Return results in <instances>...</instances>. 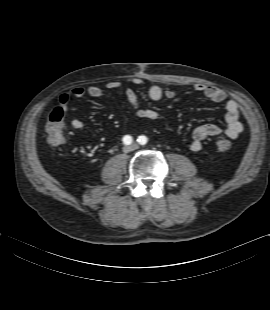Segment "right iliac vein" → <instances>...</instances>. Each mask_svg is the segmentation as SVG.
Masks as SVG:
<instances>
[{"label": "right iliac vein", "instance_id": "right-iliac-vein-1", "mask_svg": "<svg viewBox=\"0 0 270 310\" xmlns=\"http://www.w3.org/2000/svg\"><path fill=\"white\" fill-rule=\"evenodd\" d=\"M130 149H131V148H130L129 146L124 147V151H125V152H129Z\"/></svg>", "mask_w": 270, "mask_h": 310}]
</instances>
